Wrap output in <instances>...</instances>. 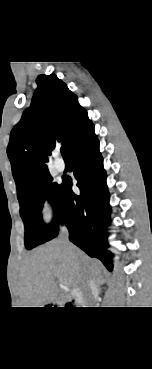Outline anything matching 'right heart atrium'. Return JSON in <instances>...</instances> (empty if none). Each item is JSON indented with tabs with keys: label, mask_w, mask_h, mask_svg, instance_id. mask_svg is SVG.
I'll return each mask as SVG.
<instances>
[{
	"label": "right heart atrium",
	"mask_w": 152,
	"mask_h": 369,
	"mask_svg": "<svg viewBox=\"0 0 152 369\" xmlns=\"http://www.w3.org/2000/svg\"><path fill=\"white\" fill-rule=\"evenodd\" d=\"M55 214L54 204L49 199H44L40 206V215L44 222L48 223Z\"/></svg>",
	"instance_id": "right-heart-atrium-1"
}]
</instances>
